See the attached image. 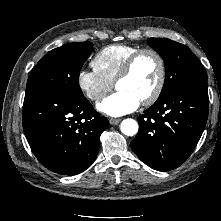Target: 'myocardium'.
Listing matches in <instances>:
<instances>
[{"label": "myocardium", "instance_id": "obj_1", "mask_svg": "<svg viewBox=\"0 0 221 221\" xmlns=\"http://www.w3.org/2000/svg\"><path fill=\"white\" fill-rule=\"evenodd\" d=\"M144 54H151L153 55L159 66V75H158V80L157 84L152 91V93L144 99L141 103L143 105H152L154 104L160 97L164 86H165V81H166V63L163 58V56L155 49L153 48H140L133 54H131L127 60L125 61L122 69L120 70L119 74L117 75V78L115 80V87L117 88V85L120 81L124 80L125 78L129 77L130 74L132 73L134 66L138 59L144 55Z\"/></svg>", "mask_w": 221, "mask_h": 221}]
</instances>
